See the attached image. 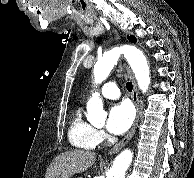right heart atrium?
<instances>
[{"label":"right heart atrium","mask_w":194,"mask_h":178,"mask_svg":"<svg viewBox=\"0 0 194 178\" xmlns=\"http://www.w3.org/2000/svg\"><path fill=\"white\" fill-rule=\"evenodd\" d=\"M108 138L107 134L102 129H95V139L97 143H102Z\"/></svg>","instance_id":"1"}]
</instances>
